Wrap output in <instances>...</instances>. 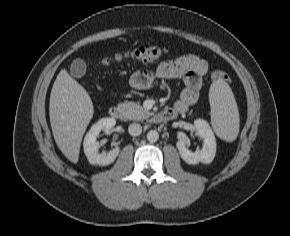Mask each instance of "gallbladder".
Returning <instances> with one entry per match:
<instances>
[{"instance_id":"gallbladder-1","label":"gallbladder","mask_w":290,"mask_h":236,"mask_svg":"<svg viewBox=\"0 0 290 236\" xmlns=\"http://www.w3.org/2000/svg\"><path fill=\"white\" fill-rule=\"evenodd\" d=\"M70 73L73 77L80 78L86 73V64L82 59H75L70 66Z\"/></svg>"}]
</instances>
